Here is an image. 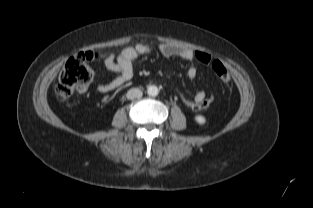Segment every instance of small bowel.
<instances>
[{"label":"small bowel","instance_id":"c3829d8e","mask_svg":"<svg viewBox=\"0 0 313 208\" xmlns=\"http://www.w3.org/2000/svg\"><path fill=\"white\" fill-rule=\"evenodd\" d=\"M159 52L165 57H179L185 61H195V52L191 49L175 46L172 44H161L158 47ZM151 52V47L144 43H138L135 46L124 48L117 56L113 53H101L99 55L93 53V59L100 58L103 60L105 67L114 73L116 76L108 83L100 84L97 90L100 93L111 92L126 82L133 76V63L134 61L145 54ZM197 76V68L191 65L187 71V77L194 79ZM206 98L204 91H199L194 97L195 103H200Z\"/></svg>","mask_w":313,"mask_h":208}]
</instances>
